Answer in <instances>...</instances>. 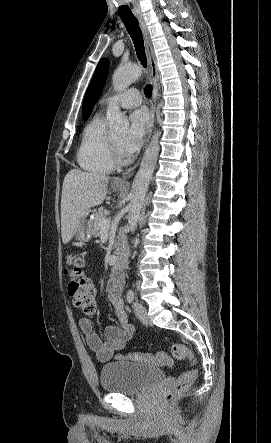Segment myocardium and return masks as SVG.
<instances>
[{"label": "myocardium", "mask_w": 271, "mask_h": 443, "mask_svg": "<svg viewBox=\"0 0 271 443\" xmlns=\"http://www.w3.org/2000/svg\"><path fill=\"white\" fill-rule=\"evenodd\" d=\"M111 141H112V146H113V150H114V153H115L116 158H117L118 160L123 159V158H124L123 153H122V151H121V149H120L119 144H118L117 141L115 140L114 136H112Z\"/></svg>", "instance_id": "obj_1"}]
</instances>
